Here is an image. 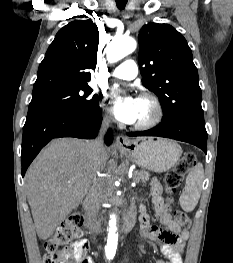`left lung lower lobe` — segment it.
<instances>
[{"instance_id": "obj_1", "label": "left lung lower lobe", "mask_w": 233, "mask_h": 263, "mask_svg": "<svg viewBox=\"0 0 233 263\" xmlns=\"http://www.w3.org/2000/svg\"><path fill=\"white\" fill-rule=\"evenodd\" d=\"M128 136H159L191 143L207 152V132L204 118L184 117L162 121L156 127L143 132H129Z\"/></svg>"}]
</instances>
